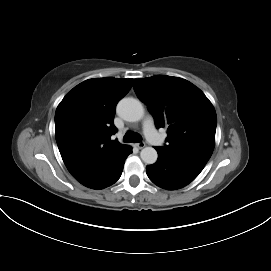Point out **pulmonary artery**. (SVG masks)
I'll return each instance as SVG.
<instances>
[{"instance_id":"e3ab8cb5","label":"pulmonary artery","mask_w":271,"mask_h":271,"mask_svg":"<svg viewBox=\"0 0 271 271\" xmlns=\"http://www.w3.org/2000/svg\"><path fill=\"white\" fill-rule=\"evenodd\" d=\"M143 129H144L145 136L147 137L149 141H151L154 144H159L160 137L155 128V124L151 118H147L144 121Z\"/></svg>"}]
</instances>
